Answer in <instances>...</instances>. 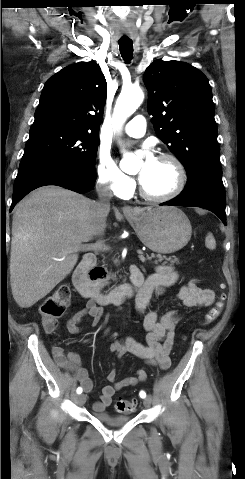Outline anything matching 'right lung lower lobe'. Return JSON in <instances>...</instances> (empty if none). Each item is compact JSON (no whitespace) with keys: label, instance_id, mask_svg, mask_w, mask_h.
Segmentation results:
<instances>
[{"label":"right lung lower lobe","instance_id":"1","mask_svg":"<svg viewBox=\"0 0 245 479\" xmlns=\"http://www.w3.org/2000/svg\"><path fill=\"white\" fill-rule=\"evenodd\" d=\"M95 172L61 162H39L19 168L10 211L32 190L46 185H57L77 193L93 189Z\"/></svg>","mask_w":245,"mask_h":479}]
</instances>
